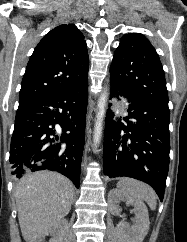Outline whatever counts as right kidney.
<instances>
[{
  "mask_svg": "<svg viewBox=\"0 0 187 242\" xmlns=\"http://www.w3.org/2000/svg\"><path fill=\"white\" fill-rule=\"evenodd\" d=\"M68 221L66 219H61L55 225L51 226L49 229L45 230L40 234L35 242H45V236L48 234L52 235L53 238L49 242H62V237L67 229Z\"/></svg>",
  "mask_w": 187,
  "mask_h": 242,
  "instance_id": "obj_1",
  "label": "right kidney"
}]
</instances>
